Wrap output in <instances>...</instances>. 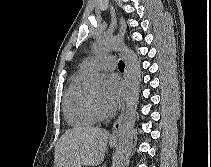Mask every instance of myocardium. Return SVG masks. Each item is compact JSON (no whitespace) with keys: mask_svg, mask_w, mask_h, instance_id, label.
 <instances>
[{"mask_svg":"<svg viewBox=\"0 0 211 167\" xmlns=\"http://www.w3.org/2000/svg\"><path fill=\"white\" fill-rule=\"evenodd\" d=\"M88 101H89L90 109L97 119L107 118L108 115L98 108V106L96 105L91 93H89V95H88Z\"/></svg>","mask_w":211,"mask_h":167,"instance_id":"myocardium-1","label":"myocardium"}]
</instances>
